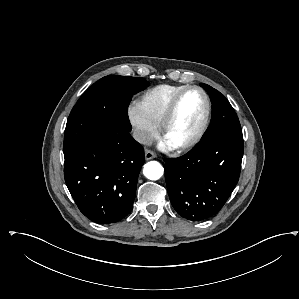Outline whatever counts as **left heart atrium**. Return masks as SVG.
Masks as SVG:
<instances>
[{"instance_id":"39dd6f15","label":"left heart atrium","mask_w":299,"mask_h":299,"mask_svg":"<svg viewBox=\"0 0 299 299\" xmlns=\"http://www.w3.org/2000/svg\"><path fill=\"white\" fill-rule=\"evenodd\" d=\"M162 146L168 147V148L171 147V145L169 143H167L165 140L163 141Z\"/></svg>"}]
</instances>
